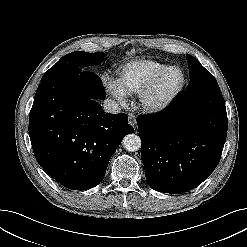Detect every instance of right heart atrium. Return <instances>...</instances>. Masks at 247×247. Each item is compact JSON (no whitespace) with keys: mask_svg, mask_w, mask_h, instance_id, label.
Instances as JSON below:
<instances>
[{"mask_svg":"<svg viewBox=\"0 0 247 247\" xmlns=\"http://www.w3.org/2000/svg\"><path fill=\"white\" fill-rule=\"evenodd\" d=\"M105 86L113 97L118 99L121 103L125 102L124 93L117 87L115 83L106 81Z\"/></svg>","mask_w":247,"mask_h":247,"instance_id":"obj_1","label":"right heart atrium"}]
</instances>
